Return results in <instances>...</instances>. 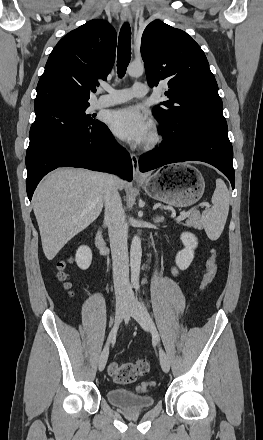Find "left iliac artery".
Segmentation results:
<instances>
[{
  "instance_id": "obj_1",
  "label": "left iliac artery",
  "mask_w": 263,
  "mask_h": 440,
  "mask_svg": "<svg viewBox=\"0 0 263 440\" xmlns=\"http://www.w3.org/2000/svg\"><path fill=\"white\" fill-rule=\"evenodd\" d=\"M142 306H143V309H144V311H145V313H146V315H147V318H148V321H149V324H150V327H151V331H152V336H153L154 339H156L157 341H159L160 338H159V335H158V331H157V329H156V327H155V324H154V322L152 321V319H151V317H150V315H149V313H148V311H147V309H146L144 303H142Z\"/></svg>"
}]
</instances>
